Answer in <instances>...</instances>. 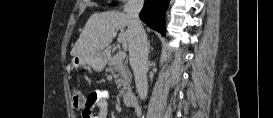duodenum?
Listing matches in <instances>:
<instances>
[{
	"instance_id": "1",
	"label": "duodenum",
	"mask_w": 273,
	"mask_h": 118,
	"mask_svg": "<svg viewBox=\"0 0 273 118\" xmlns=\"http://www.w3.org/2000/svg\"><path fill=\"white\" fill-rule=\"evenodd\" d=\"M123 102L127 107H136L138 105V97L135 92L127 91L123 94Z\"/></svg>"
}]
</instances>
